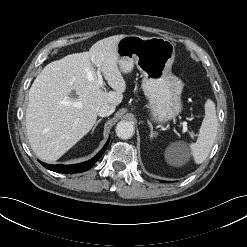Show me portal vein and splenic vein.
Segmentation results:
<instances>
[{
	"mask_svg": "<svg viewBox=\"0 0 247 247\" xmlns=\"http://www.w3.org/2000/svg\"><path fill=\"white\" fill-rule=\"evenodd\" d=\"M97 76H98V81H97L98 85H99V87L103 88L104 87V81H103L100 70L97 71ZM182 125H183V130L187 131V122L183 121Z\"/></svg>",
	"mask_w": 247,
	"mask_h": 247,
	"instance_id": "18ae733b",
	"label": "portal vein and splenic vein"
}]
</instances>
